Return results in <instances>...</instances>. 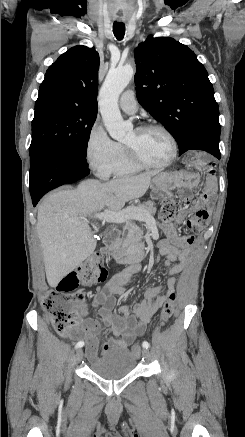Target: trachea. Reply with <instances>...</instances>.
I'll return each mask as SVG.
<instances>
[{"label":"trachea","instance_id":"3493384b","mask_svg":"<svg viewBox=\"0 0 245 437\" xmlns=\"http://www.w3.org/2000/svg\"><path fill=\"white\" fill-rule=\"evenodd\" d=\"M113 33L118 40H122L125 35V24L122 22H114Z\"/></svg>","mask_w":245,"mask_h":437}]
</instances>
